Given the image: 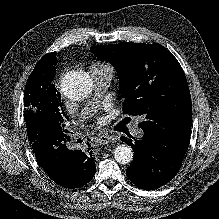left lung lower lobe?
<instances>
[{"instance_id": "obj_1", "label": "left lung lower lobe", "mask_w": 219, "mask_h": 219, "mask_svg": "<svg viewBox=\"0 0 219 219\" xmlns=\"http://www.w3.org/2000/svg\"><path fill=\"white\" fill-rule=\"evenodd\" d=\"M189 139L190 136L170 138L148 131H144L143 138L136 140L135 144L131 139L121 137L134 150L127 176L133 184L145 190H155L165 185L180 170Z\"/></svg>"}]
</instances>
